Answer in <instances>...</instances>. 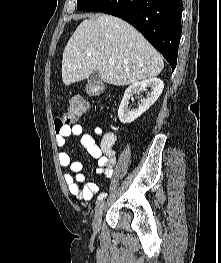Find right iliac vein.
Returning <instances> with one entry per match:
<instances>
[{
  "label": "right iliac vein",
  "instance_id": "obj_1",
  "mask_svg": "<svg viewBox=\"0 0 221 263\" xmlns=\"http://www.w3.org/2000/svg\"><path fill=\"white\" fill-rule=\"evenodd\" d=\"M105 208V201L100 200L95 207L94 217L92 221V227L95 231L99 230L101 224V217Z\"/></svg>",
  "mask_w": 221,
  "mask_h": 263
}]
</instances>
